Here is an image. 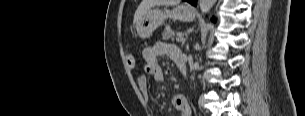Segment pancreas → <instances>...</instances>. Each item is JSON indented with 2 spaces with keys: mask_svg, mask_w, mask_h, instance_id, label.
I'll list each match as a JSON object with an SVG mask.
<instances>
[{
  "mask_svg": "<svg viewBox=\"0 0 305 116\" xmlns=\"http://www.w3.org/2000/svg\"><path fill=\"white\" fill-rule=\"evenodd\" d=\"M163 40H168L170 38H173L175 36V32L170 28L169 25L165 26V29L162 33Z\"/></svg>",
  "mask_w": 305,
  "mask_h": 116,
  "instance_id": "cf45deb5",
  "label": "pancreas"
}]
</instances>
